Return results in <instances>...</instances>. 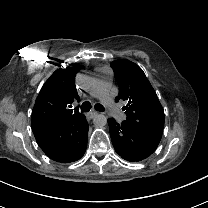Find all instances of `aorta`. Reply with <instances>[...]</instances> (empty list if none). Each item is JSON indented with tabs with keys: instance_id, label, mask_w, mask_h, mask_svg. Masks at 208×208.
<instances>
[{
	"instance_id": "762f6f07",
	"label": "aorta",
	"mask_w": 208,
	"mask_h": 208,
	"mask_svg": "<svg viewBox=\"0 0 208 208\" xmlns=\"http://www.w3.org/2000/svg\"><path fill=\"white\" fill-rule=\"evenodd\" d=\"M93 124L98 127H103L107 124V117L104 114H95Z\"/></svg>"
}]
</instances>
